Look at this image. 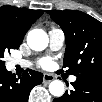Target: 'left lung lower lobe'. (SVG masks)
Segmentation results:
<instances>
[{"label": "left lung lower lobe", "instance_id": "0a47b994", "mask_svg": "<svg viewBox=\"0 0 102 102\" xmlns=\"http://www.w3.org/2000/svg\"><path fill=\"white\" fill-rule=\"evenodd\" d=\"M73 90L54 99V102H101L102 101V79L91 77H77L72 83Z\"/></svg>", "mask_w": 102, "mask_h": 102}]
</instances>
